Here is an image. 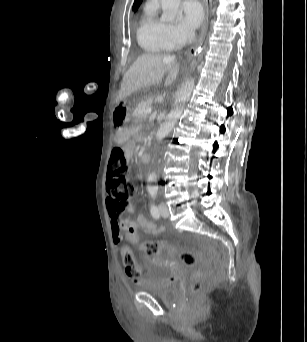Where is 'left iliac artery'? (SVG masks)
Masks as SVG:
<instances>
[{
  "label": "left iliac artery",
  "instance_id": "1",
  "mask_svg": "<svg viewBox=\"0 0 307 342\" xmlns=\"http://www.w3.org/2000/svg\"><path fill=\"white\" fill-rule=\"evenodd\" d=\"M149 192H150V195L152 197V200H155L157 197L158 187L157 186L150 187ZM150 212L154 218H156V219L159 218V210L155 205L151 206Z\"/></svg>",
  "mask_w": 307,
  "mask_h": 342
}]
</instances>
